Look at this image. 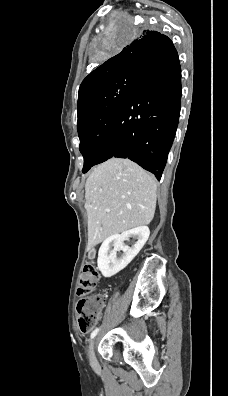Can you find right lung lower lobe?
<instances>
[{
	"mask_svg": "<svg viewBox=\"0 0 228 396\" xmlns=\"http://www.w3.org/2000/svg\"><path fill=\"white\" fill-rule=\"evenodd\" d=\"M181 103V68L171 40L143 60L136 80L111 127L96 164L129 158L162 176Z\"/></svg>",
	"mask_w": 228,
	"mask_h": 396,
	"instance_id": "obj_1",
	"label": "right lung lower lobe"
}]
</instances>
